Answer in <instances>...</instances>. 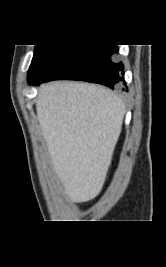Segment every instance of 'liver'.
<instances>
[{
  "instance_id": "obj_1",
  "label": "liver",
  "mask_w": 166,
  "mask_h": 267,
  "mask_svg": "<svg viewBox=\"0 0 166 267\" xmlns=\"http://www.w3.org/2000/svg\"><path fill=\"white\" fill-rule=\"evenodd\" d=\"M39 125L54 171L72 202L101 191L117 144L125 105L104 87L52 82L39 89Z\"/></svg>"
}]
</instances>
